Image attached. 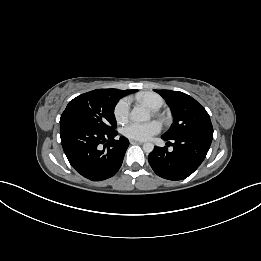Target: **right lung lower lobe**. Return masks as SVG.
Instances as JSON below:
<instances>
[{"mask_svg": "<svg viewBox=\"0 0 261 261\" xmlns=\"http://www.w3.org/2000/svg\"><path fill=\"white\" fill-rule=\"evenodd\" d=\"M117 134L115 130L101 132L86 126L60 124L61 143L69 163L92 181L110 178L120 169L129 140L123 136L116 140Z\"/></svg>", "mask_w": 261, "mask_h": 261, "instance_id": "98d812e1", "label": "right lung lower lobe"}]
</instances>
